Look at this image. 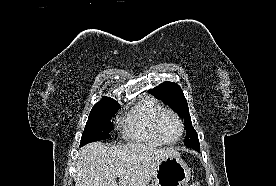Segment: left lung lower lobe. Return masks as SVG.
Returning <instances> with one entry per match:
<instances>
[{"label":"left lung lower lobe","instance_id":"obj_1","mask_svg":"<svg viewBox=\"0 0 276 186\" xmlns=\"http://www.w3.org/2000/svg\"><path fill=\"white\" fill-rule=\"evenodd\" d=\"M193 149H195L196 151L200 152V146L194 147Z\"/></svg>","mask_w":276,"mask_h":186}]
</instances>
